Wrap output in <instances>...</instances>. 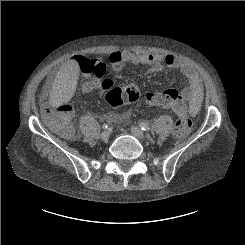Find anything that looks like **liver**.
I'll return each instance as SVG.
<instances>
[{
    "label": "liver",
    "instance_id": "6515ba94",
    "mask_svg": "<svg viewBox=\"0 0 245 245\" xmlns=\"http://www.w3.org/2000/svg\"><path fill=\"white\" fill-rule=\"evenodd\" d=\"M79 65L75 60L66 62L58 71L50 92V105L58 107L74 95Z\"/></svg>",
    "mask_w": 245,
    "mask_h": 245
}]
</instances>
